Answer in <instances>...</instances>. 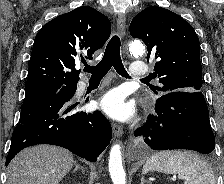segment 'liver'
Returning <instances> with one entry per match:
<instances>
[{
  "label": "liver",
  "mask_w": 224,
  "mask_h": 184,
  "mask_svg": "<svg viewBox=\"0 0 224 184\" xmlns=\"http://www.w3.org/2000/svg\"><path fill=\"white\" fill-rule=\"evenodd\" d=\"M73 167V155L66 149L37 145L22 150L10 162L7 184H59Z\"/></svg>",
  "instance_id": "obj_1"
}]
</instances>
